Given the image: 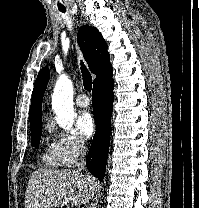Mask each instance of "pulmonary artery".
Returning a JSON list of instances; mask_svg holds the SVG:
<instances>
[{
	"mask_svg": "<svg viewBox=\"0 0 199 208\" xmlns=\"http://www.w3.org/2000/svg\"><path fill=\"white\" fill-rule=\"evenodd\" d=\"M76 105L80 108H86L90 106V100L86 94H81L76 98Z\"/></svg>",
	"mask_w": 199,
	"mask_h": 208,
	"instance_id": "1",
	"label": "pulmonary artery"
}]
</instances>
